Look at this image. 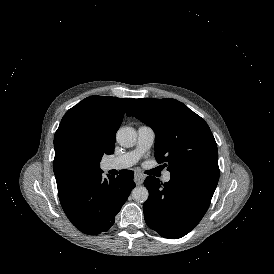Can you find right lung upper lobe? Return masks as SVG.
<instances>
[{"mask_svg":"<svg viewBox=\"0 0 274 274\" xmlns=\"http://www.w3.org/2000/svg\"><path fill=\"white\" fill-rule=\"evenodd\" d=\"M133 100L94 95L66 112L54 136L59 198L102 172L99 162L104 154L114 153L116 132Z\"/></svg>","mask_w":274,"mask_h":274,"instance_id":"1","label":"right lung upper lobe"}]
</instances>
